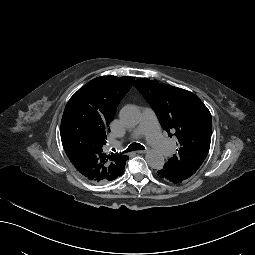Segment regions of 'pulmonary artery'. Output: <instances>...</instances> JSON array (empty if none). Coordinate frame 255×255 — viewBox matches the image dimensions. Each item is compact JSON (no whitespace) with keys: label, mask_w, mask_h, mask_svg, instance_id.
Returning <instances> with one entry per match:
<instances>
[{"label":"pulmonary artery","mask_w":255,"mask_h":255,"mask_svg":"<svg viewBox=\"0 0 255 255\" xmlns=\"http://www.w3.org/2000/svg\"><path fill=\"white\" fill-rule=\"evenodd\" d=\"M155 117L156 114L154 111H145L143 114V119H145V121L140 123L139 127L134 131L132 137L139 138L140 136L144 135L151 145H153L157 151H160L165 158L173 159L175 157L173 146L162 137V134L158 130L159 126L157 123H155ZM111 146L117 148L120 146V143L118 141H113Z\"/></svg>","instance_id":"pulmonary-artery-1"}]
</instances>
